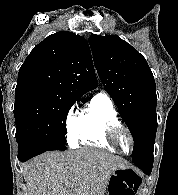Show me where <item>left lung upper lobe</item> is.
Here are the masks:
<instances>
[{
    "mask_svg": "<svg viewBox=\"0 0 178 195\" xmlns=\"http://www.w3.org/2000/svg\"><path fill=\"white\" fill-rule=\"evenodd\" d=\"M89 44L104 89L133 139V163L153 157L157 131L156 85L145 58L116 35H91Z\"/></svg>",
    "mask_w": 178,
    "mask_h": 195,
    "instance_id": "left-lung-upper-lobe-1",
    "label": "left lung upper lobe"
}]
</instances>
